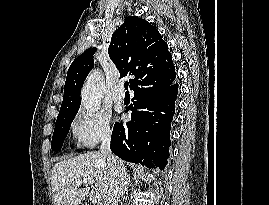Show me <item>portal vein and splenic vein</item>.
<instances>
[{
  "label": "portal vein and splenic vein",
  "instance_id": "18ae733b",
  "mask_svg": "<svg viewBox=\"0 0 269 205\" xmlns=\"http://www.w3.org/2000/svg\"><path fill=\"white\" fill-rule=\"evenodd\" d=\"M75 184L78 185V186H80L81 184L92 185V184H94V179L93 178H85V179H82V180H76ZM101 200H102V194L96 192L94 194V196H93V201L98 203V202H101Z\"/></svg>",
  "mask_w": 269,
  "mask_h": 205
}]
</instances>
